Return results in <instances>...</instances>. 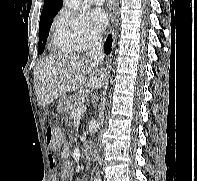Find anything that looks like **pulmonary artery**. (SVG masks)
Here are the masks:
<instances>
[{"instance_id": "1", "label": "pulmonary artery", "mask_w": 197, "mask_h": 181, "mask_svg": "<svg viewBox=\"0 0 197 181\" xmlns=\"http://www.w3.org/2000/svg\"><path fill=\"white\" fill-rule=\"evenodd\" d=\"M94 4L101 5L105 0H91Z\"/></svg>"}]
</instances>
